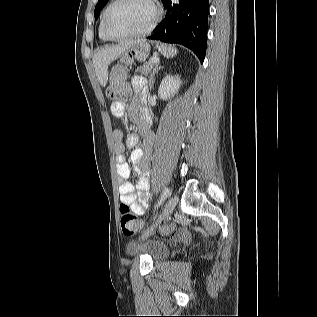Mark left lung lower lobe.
Returning a JSON list of instances; mask_svg holds the SVG:
<instances>
[{"instance_id":"left-lung-lower-lobe-1","label":"left lung lower lobe","mask_w":317,"mask_h":317,"mask_svg":"<svg viewBox=\"0 0 317 317\" xmlns=\"http://www.w3.org/2000/svg\"><path fill=\"white\" fill-rule=\"evenodd\" d=\"M165 19L147 39L178 43L190 48L203 63L206 52L208 0L163 1Z\"/></svg>"}]
</instances>
